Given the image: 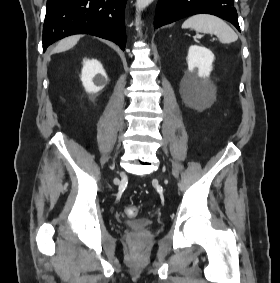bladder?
Segmentation results:
<instances>
[{
  "label": "bladder",
  "mask_w": 280,
  "mask_h": 283,
  "mask_svg": "<svg viewBox=\"0 0 280 283\" xmlns=\"http://www.w3.org/2000/svg\"><path fill=\"white\" fill-rule=\"evenodd\" d=\"M124 225L131 231L144 232L151 227L152 221L148 218H140V219L127 221L125 222Z\"/></svg>",
  "instance_id": "obj_1"
}]
</instances>
